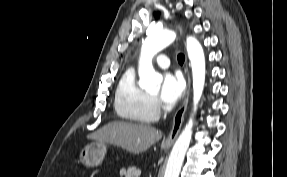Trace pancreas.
Listing matches in <instances>:
<instances>
[{
    "instance_id": "obj_1",
    "label": "pancreas",
    "mask_w": 287,
    "mask_h": 177,
    "mask_svg": "<svg viewBox=\"0 0 287 177\" xmlns=\"http://www.w3.org/2000/svg\"><path fill=\"white\" fill-rule=\"evenodd\" d=\"M141 174V171L135 167H129V168H122L120 170V176L125 177H139Z\"/></svg>"
}]
</instances>
